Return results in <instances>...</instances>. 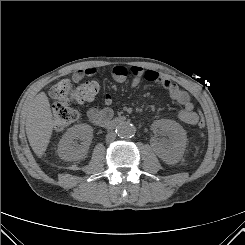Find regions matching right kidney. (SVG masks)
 Here are the masks:
<instances>
[{
	"label": "right kidney",
	"mask_w": 245,
	"mask_h": 245,
	"mask_svg": "<svg viewBox=\"0 0 245 245\" xmlns=\"http://www.w3.org/2000/svg\"><path fill=\"white\" fill-rule=\"evenodd\" d=\"M93 139V129L88 124H78L67 130L58 145V155L65 161L82 159ZM80 142V144L78 143Z\"/></svg>",
	"instance_id": "1"
}]
</instances>
